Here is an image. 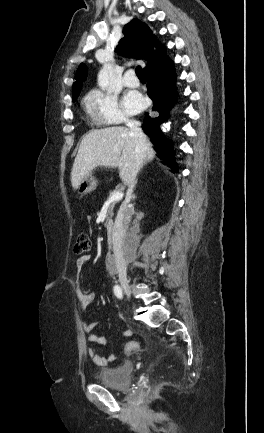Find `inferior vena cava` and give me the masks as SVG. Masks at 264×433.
I'll list each match as a JSON object with an SVG mask.
<instances>
[{
  "label": "inferior vena cava",
  "mask_w": 264,
  "mask_h": 433,
  "mask_svg": "<svg viewBox=\"0 0 264 433\" xmlns=\"http://www.w3.org/2000/svg\"><path fill=\"white\" fill-rule=\"evenodd\" d=\"M126 125L129 127L131 134L134 137L135 140V151H136V157H137V165L135 173L133 174L132 178L130 179L128 183V190L126 194V200L123 203L119 216H118V224H119V231H118V237H117V251L115 252V260H116V268L118 272L119 278H126L127 277V268L126 263L124 261L125 255L123 252V243L126 242L127 232L124 230L123 222L125 220V208L128 207V204L132 198L133 189L135 186V178L142 167L143 163L145 162V152H146V137L141 129V123L139 121L135 120H127Z\"/></svg>",
  "instance_id": "1"
}]
</instances>
